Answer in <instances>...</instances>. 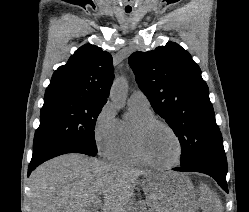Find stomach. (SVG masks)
Segmentation results:
<instances>
[{"label":"stomach","mask_w":249,"mask_h":212,"mask_svg":"<svg viewBox=\"0 0 249 212\" xmlns=\"http://www.w3.org/2000/svg\"><path fill=\"white\" fill-rule=\"evenodd\" d=\"M142 184L149 212H197V196L182 170H153V175H144ZM149 204H154L151 210Z\"/></svg>","instance_id":"0dacf381"}]
</instances>
